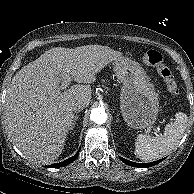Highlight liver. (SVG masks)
<instances>
[{
  "label": "liver",
  "instance_id": "1",
  "mask_svg": "<svg viewBox=\"0 0 194 194\" xmlns=\"http://www.w3.org/2000/svg\"><path fill=\"white\" fill-rule=\"evenodd\" d=\"M122 57L121 52L101 45L56 47L24 66L13 77L3 107L11 141L31 161L52 163L60 156L73 124V105L88 106L92 91L87 84ZM66 75L79 84L61 93L59 85Z\"/></svg>",
  "mask_w": 194,
  "mask_h": 194
}]
</instances>
